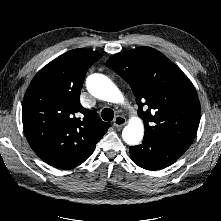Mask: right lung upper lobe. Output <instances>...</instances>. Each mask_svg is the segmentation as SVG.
Wrapping results in <instances>:
<instances>
[{
    "mask_svg": "<svg viewBox=\"0 0 221 221\" xmlns=\"http://www.w3.org/2000/svg\"><path fill=\"white\" fill-rule=\"evenodd\" d=\"M101 57L86 49L68 51L43 67L25 93L22 120L26 138L51 166H79L111 126L79 102L86 72Z\"/></svg>",
    "mask_w": 221,
    "mask_h": 221,
    "instance_id": "obj_1",
    "label": "right lung upper lobe"
}]
</instances>
